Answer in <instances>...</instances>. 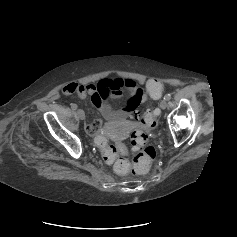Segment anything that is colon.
I'll return each instance as SVG.
<instances>
[{"label": "colon", "instance_id": "obj_1", "mask_svg": "<svg viewBox=\"0 0 237 237\" xmlns=\"http://www.w3.org/2000/svg\"><path fill=\"white\" fill-rule=\"evenodd\" d=\"M163 89L164 83L161 80L152 79L146 84L147 92L154 99L161 96ZM158 115V110L153 109L133 116L136 128L131 133L132 163L124 158L127 148L121 142H110L103 136L97 139L104 160L113 164L118 174H142L148 171L156 157V149L148 144L145 129H151L157 125Z\"/></svg>", "mask_w": 237, "mask_h": 237}]
</instances>
